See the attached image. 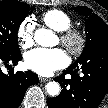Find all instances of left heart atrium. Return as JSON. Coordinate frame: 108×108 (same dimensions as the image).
I'll return each instance as SVG.
<instances>
[{
    "instance_id": "obj_1",
    "label": "left heart atrium",
    "mask_w": 108,
    "mask_h": 108,
    "mask_svg": "<svg viewBox=\"0 0 108 108\" xmlns=\"http://www.w3.org/2000/svg\"><path fill=\"white\" fill-rule=\"evenodd\" d=\"M25 64L33 72L47 76L67 64L66 54L58 48H36L26 53Z\"/></svg>"
}]
</instances>
